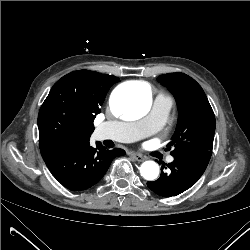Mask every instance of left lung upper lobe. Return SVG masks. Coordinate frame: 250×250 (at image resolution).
Segmentation results:
<instances>
[{
  "label": "left lung upper lobe",
  "instance_id": "5c2ea615",
  "mask_svg": "<svg viewBox=\"0 0 250 250\" xmlns=\"http://www.w3.org/2000/svg\"><path fill=\"white\" fill-rule=\"evenodd\" d=\"M157 80L174 95L179 111L176 131L168 144L174 146L171 155L212 151L215 116L201 86L180 72L163 74Z\"/></svg>",
  "mask_w": 250,
  "mask_h": 250
}]
</instances>
